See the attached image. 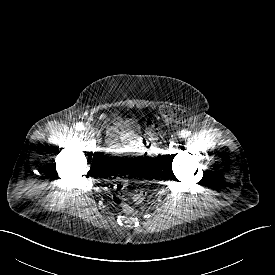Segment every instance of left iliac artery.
Segmentation results:
<instances>
[{
  "label": "left iliac artery",
  "instance_id": "1",
  "mask_svg": "<svg viewBox=\"0 0 275 275\" xmlns=\"http://www.w3.org/2000/svg\"><path fill=\"white\" fill-rule=\"evenodd\" d=\"M190 135V132L188 130H182L181 133H180V136L182 138H187L188 136Z\"/></svg>",
  "mask_w": 275,
  "mask_h": 275
}]
</instances>
